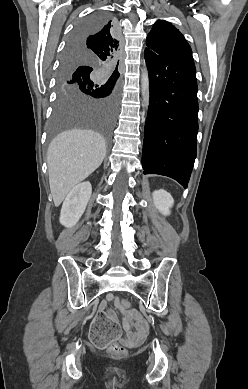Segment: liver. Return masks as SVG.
<instances>
[{"label":"liver","mask_w":248,"mask_h":389,"mask_svg":"<svg viewBox=\"0 0 248 389\" xmlns=\"http://www.w3.org/2000/svg\"><path fill=\"white\" fill-rule=\"evenodd\" d=\"M105 154L106 141L93 130H67L52 140L47 152V165L56 207L73 187L101 165Z\"/></svg>","instance_id":"liver-1"}]
</instances>
